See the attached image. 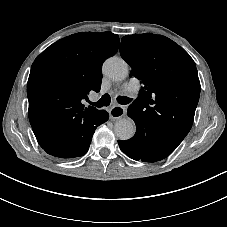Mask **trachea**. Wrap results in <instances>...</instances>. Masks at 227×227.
Segmentation results:
<instances>
[{"label":"trachea","instance_id":"trachea-1","mask_svg":"<svg viewBox=\"0 0 227 227\" xmlns=\"http://www.w3.org/2000/svg\"><path fill=\"white\" fill-rule=\"evenodd\" d=\"M132 100H133V98H129L126 96H119L117 98L118 103L121 105H127ZM110 103H111V97L109 96V94H104L97 102H90L91 105L98 107V108L107 107L110 105Z\"/></svg>","mask_w":227,"mask_h":227}]
</instances>
